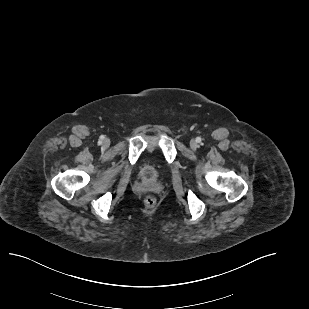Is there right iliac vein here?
Segmentation results:
<instances>
[{"instance_id": "1", "label": "right iliac vein", "mask_w": 309, "mask_h": 309, "mask_svg": "<svg viewBox=\"0 0 309 309\" xmlns=\"http://www.w3.org/2000/svg\"><path fill=\"white\" fill-rule=\"evenodd\" d=\"M102 145L106 148L110 145V141L108 139H104Z\"/></svg>"}]
</instances>
